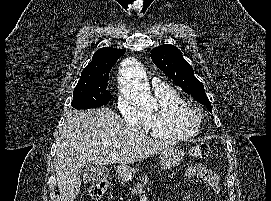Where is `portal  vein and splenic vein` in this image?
<instances>
[{"label":"portal vein and splenic vein","instance_id":"18ae733b","mask_svg":"<svg viewBox=\"0 0 271 201\" xmlns=\"http://www.w3.org/2000/svg\"><path fill=\"white\" fill-rule=\"evenodd\" d=\"M120 146H121L120 144L115 145V147H117V148H120Z\"/></svg>","mask_w":271,"mask_h":201}]
</instances>
